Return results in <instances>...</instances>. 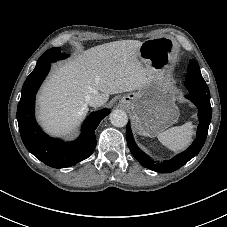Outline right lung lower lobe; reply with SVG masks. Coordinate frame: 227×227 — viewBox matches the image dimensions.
<instances>
[{
    "label": "right lung lower lobe",
    "instance_id": "98d812e1",
    "mask_svg": "<svg viewBox=\"0 0 227 227\" xmlns=\"http://www.w3.org/2000/svg\"><path fill=\"white\" fill-rule=\"evenodd\" d=\"M50 69V64L32 72L26 79L17 108V121L22 141L29 152L53 168L70 167L88 158L96 147L95 129L110 110L93 112L82 126L80 137L73 142L48 137L34 117L35 95Z\"/></svg>",
    "mask_w": 227,
    "mask_h": 227
}]
</instances>
